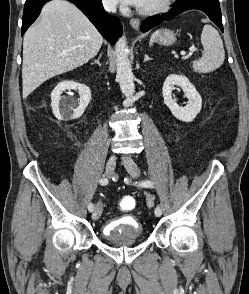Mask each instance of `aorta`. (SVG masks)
<instances>
[{
	"label": "aorta",
	"instance_id": "obj_1",
	"mask_svg": "<svg viewBox=\"0 0 249 294\" xmlns=\"http://www.w3.org/2000/svg\"><path fill=\"white\" fill-rule=\"evenodd\" d=\"M117 80L122 93L126 97H132L135 93L134 76L129 60L128 46L125 36L118 39L115 45Z\"/></svg>",
	"mask_w": 249,
	"mask_h": 294
}]
</instances>
